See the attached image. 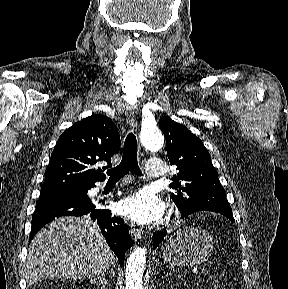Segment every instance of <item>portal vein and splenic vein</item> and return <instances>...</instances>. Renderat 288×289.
Returning a JSON list of instances; mask_svg holds the SVG:
<instances>
[{
  "label": "portal vein and splenic vein",
  "mask_w": 288,
  "mask_h": 289,
  "mask_svg": "<svg viewBox=\"0 0 288 289\" xmlns=\"http://www.w3.org/2000/svg\"><path fill=\"white\" fill-rule=\"evenodd\" d=\"M200 273H201V274H205V273H206V268H204V267L201 268V269H200Z\"/></svg>",
  "instance_id": "1"
}]
</instances>
